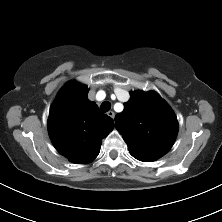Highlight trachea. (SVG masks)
<instances>
[{
    "instance_id": "trachea-1",
    "label": "trachea",
    "mask_w": 222,
    "mask_h": 222,
    "mask_svg": "<svg viewBox=\"0 0 222 222\" xmlns=\"http://www.w3.org/2000/svg\"><path fill=\"white\" fill-rule=\"evenodd\" d=\"M102 112H108L111 109V103L109 101H104L100 107Z\"/></svg>"
}]
</instances>
